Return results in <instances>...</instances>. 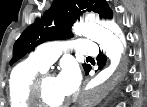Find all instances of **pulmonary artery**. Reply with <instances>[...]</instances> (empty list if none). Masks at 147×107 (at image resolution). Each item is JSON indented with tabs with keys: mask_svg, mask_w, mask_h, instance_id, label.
Instances as JSON below:
<instances>
[{
	"mask_svg": "<svg viewBox=\"0 0 147 107\" xmlns=\"http://www.w3.org/2000/svg\"><path fill=\"white\" fill-rule=\"evenodd\" d=\"M73 44L78 54L96 56L97 45L94 42L88 40H74ZM65 50V45L62 42H53L40 46V48L33 53L32 60L48 68L53 64L62 51Z\"/></svg>",
	"mask_w": 147,
	"mask_h": 107,
	"instance_id": "1",
	"label": "pulmonary artery"
}]
</instances>
